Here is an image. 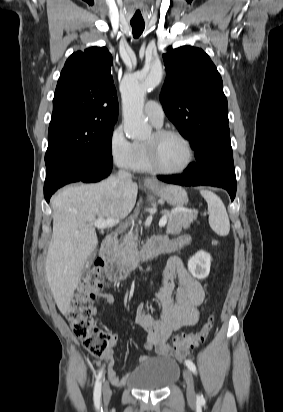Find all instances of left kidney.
<instances>
[{
	"instance_id": "left-kidney-1",
	"label": "left kidney",
	"mask_w": 283,
	"mask_h": 412,
	"mask_svg": "<svg viewBox=\"0 0 283 412\" xmlns=\"http://www.w3.org/2000/svg\"><path fill=\"white\" fill-rule=\"evenodd\" d=\"M188 270L197 279H205L210 272L211 256L205 251H198L188 260Z\"/></svg>"
}]
</instances>
